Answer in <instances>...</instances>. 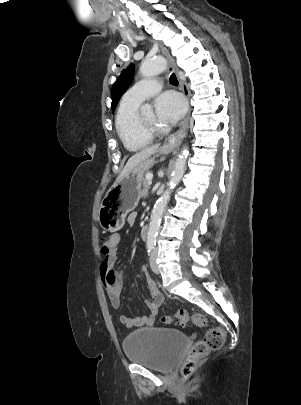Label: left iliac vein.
I'll list each match as a JSON object with an SVG mask.
<instances>
[{"mask_svg": "<svg viewBox=\"0 0 301 405\" xmlns=\"http://www.w3.org/2000/svg\"><path fill=\"white\" fill-rule=\"evenodd\" d=\"M156 256H157L156 251H153L152 254H151V258H150V266H151L152 271L154 273L158 274L159 269H158V266H157V263H156Z\"/></svg>", "mask_w": 301, "mask_h": 405, "instance_id": "left-iliac-vein-1", "label": "left iliac vein"}]
</instances>
